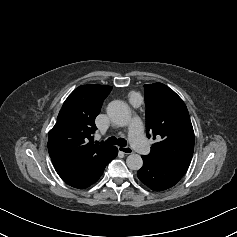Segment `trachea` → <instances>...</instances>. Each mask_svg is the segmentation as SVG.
<instances>
[{
    "instance_id": "1",
    "label": "trachea",
    "mask_w": 237,
    "mask_h": 237,
    "mask_svg": "<svg viewBox=\"0 0 237 237\" xmlns=\"http://www.w3.org/2000/svg\"><path fill=\"white\" fill-rule=\"evenodd\" d=\"M106 145H119L121 147H125L127 145V141L123 138H115L109 137L105 142Z\"/></svg>"
}]
</instances>
